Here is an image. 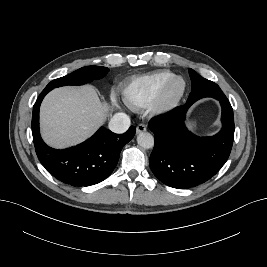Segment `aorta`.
I'll use <instances>...</instances> for the list:
<instances>
[{
  "mask_svg": "<svg viewBox=\"0 0 267 267\" xmlns=\"http://www.w3.org/2000/svg\"><path fill=\"white\" fill-rule=\"evenodd\" d=\"M137 143L144 149H150L154 146V137L148 132H141L137 136Z\"/></svg>",
  "mask_w": 267,
  "mask_h": 267,
  "instance_id": "1",
  "label": "aorta"
}]
</instances>
